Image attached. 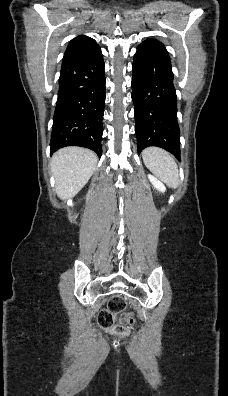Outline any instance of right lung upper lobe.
Returning <instances> with one entry per match:
<instances>
[{
  "instance_id": "1",
  "label": "right lung upper lobe",
  "mask_w": 228,
  "mask_h": 396,
  "mask_svg": "<svg viewBox=\"0 0 228 396\" xmlns=\"http://www.w3.org/2000/svg\"><path fill=\"white\" fill-rule=\"evenodd\" d=\"M95 46L98 45L92 38L83 35L77 36L76 38L70 41L65 51L63 59L81 54Z\"/></svg>"
}]
</instances>
